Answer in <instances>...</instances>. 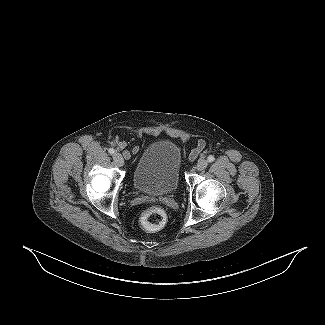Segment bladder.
<instances>
[{
	"instance_id": "31cf9c89",
	"label": "bladder",
	"mask_w": 325,
	"mask_h": 325,
	"mask_svg": "<svg viewBox=\"0 0 325 325\" xmlns=\"http://www.w3.org/2000/svg\"><path fill=\"white\" fill-rule=\"evenodd\" d=\"M181 161V150L175 143L167 140L152 142L144 149L135 166L134 187L150 195L174 192L179 184Z\"/></svg>"
}]
</instances>
